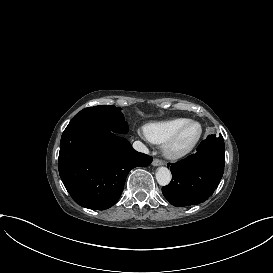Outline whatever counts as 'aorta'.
Segmentation results:
<instances>
[{
    "label": "aorta",
    "instance_id": "aorta-1",
    "mask_svg": "<svg viewBox=\"0 0 273 273\" xmlns=\"http://www.w3.org/2000/svg\"><path fill=\"white\" fill-rule=\"evenodd\" d=\"M172 179L171 172L166 167H159L156 172V180L159 185L166 186Z\"/></svg>",
    "mask_w": 273,
    "mask_h": 273
}]
</instances>
